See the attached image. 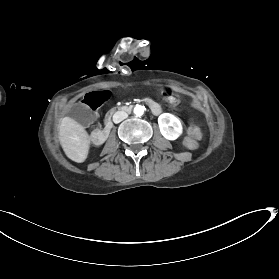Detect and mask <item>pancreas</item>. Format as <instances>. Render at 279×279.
<instances>
[{
  "label": "pancreas",
  "mask_w": 279,
  "mask_h": 279,
  "mask_svg": "<svg viewBox=\"0 0 279 279\" xmlns=\"http://www.w3.org/2000/svg\"><path fill=\"white\" fill-rule=\"evenodd\" d=\"M115 109H112L110 112L113 113Z\"/></svg>",
  "instance_id": "1"
}]
</instances>
